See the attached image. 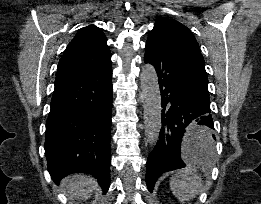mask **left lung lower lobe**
Instances as JSON below:
<instances>
[{"label":"left lung lower lobe","mask_w":261,"mask_h":204,"mask_svg":"<svg viewBox=\"0 0 261 204\" xmlns=\"http://www.w3.org/2000/svg\"><path fill=\"white\" fill-rule=\"evenodd\" d=\"M144 61L156 69L163 108L159 140L147 160L146 183L152 192L162 173L185 166L184 156L206 154L197 143L213 140L214 125L205 67L154 39L147 40Z\"/></svg>","instance_id":"0a47b994"}]
</instances>
